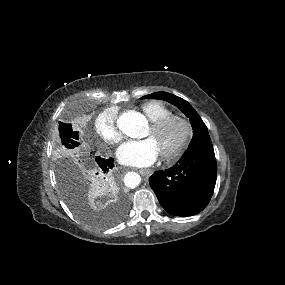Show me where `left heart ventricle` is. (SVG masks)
<instances>
[{
	"instance_id": "1",
	"label": "left heart ventricle",
	"mask_w": 285,
	"mask_h": 285,
	"mask_svg": "<svg viewBox=\"0 0 285 285\" xmlns=\"http://www.w3.org/2000/svg\"><path fill=\"white\" fill-rule=\"evenodd\" d=\"M182 133V129L179 124H173L168 127L163 133H155L151 127H149L145 137L152 138L157 143L160 152L174 147L179 140Z\"/></svg>"
}]
</instances>
